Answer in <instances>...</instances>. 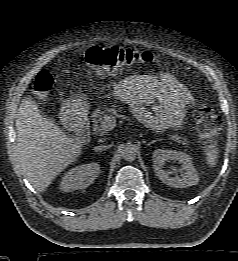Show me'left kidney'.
<instances>
[{"label":"left kidney","instance_id":"obj_1","mask_svg":"<svg viewBox=\"0 0 238 261\" xmlns=\"http://www.w3.org/2000/svg\"><path fill=\"white\" fill-rule=\"evenodd\" d=\"M168 161H178L182 165L184 173L182 177H170L163 169ZM153 167L156 176L166 185L175 188H186L196 185L199 182V176L195 169L191 157L176 150L157 149L153 152Z\"/></svg>","mask_w":238,"mask_h":261}]
</instances>
